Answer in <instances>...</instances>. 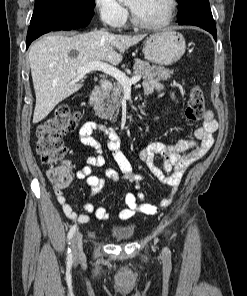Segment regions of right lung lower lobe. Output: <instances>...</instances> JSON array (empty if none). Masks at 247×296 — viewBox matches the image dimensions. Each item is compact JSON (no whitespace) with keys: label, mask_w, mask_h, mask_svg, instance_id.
<instances>
[{"label":"right lung lower lobe","mask_w":247,"mask_h":296,"mask_svg":"<svg viewBox=\"0 0 247 296\" xmlns=\"http://www.w3.org/2000/svg\"><path fill=\"white\" fill-rule=\"evenodd\" d=\"M94 13H86L78 17H71L57 9L45 16L31 20L26 38V49L31 42L44 33L59 30H71L85 27L89 24Z\"/></svg>","instance_id":"right-lung-lower-lobe-1"}]
</instances>
